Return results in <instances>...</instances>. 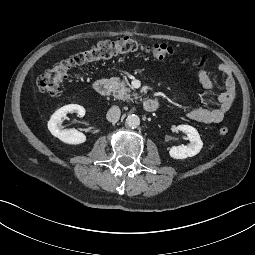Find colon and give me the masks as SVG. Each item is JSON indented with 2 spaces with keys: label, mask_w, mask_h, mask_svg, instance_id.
I'll use <instances>...</instances> for the list:
<instances>
[{
  "label": "colon",
  "mask_w": 255,
  "mask_h": 255,
  "mask_svg": "<svg viewBox=\"0 0 255 255\" xmlns=\"http://www.w3.org/2000/svg\"><path fill=\"white\" fill-rule=\"evenodd\" d=\"M130 52H142L158 60H168L176 55V51L165 43L147 45L130 37L116 41H100L47 69L38 78V88L43 93L56 96L59 94L63 82L74 68ZM192 62L199 70H202L207 63L204 58ZM227 133V127L223 126L219 129V134L226 135Z\"/></svg>",
  "instance_id": "colon-1"
}]
</instances>
